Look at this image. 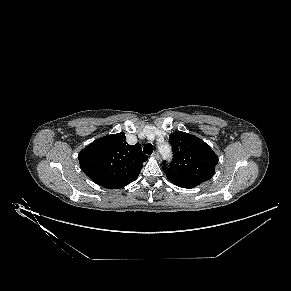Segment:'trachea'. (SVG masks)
Instances as JSON below:
<instances>
[{
	"label": "trachea",
	"instance_id": "trachea-1",
	"mask_svg": "<svg viewBox=\"0 0 291 291\" xmlns=\"http://www.w3.org/2000/svg\"><path fill=\"white\" fill-rule=\"evenodd\" d=\"M143 151H144L145 154H148V155L152 154V152H153V145L152 144H146L144 146V148H143Z\"/></svg>",
	"mask_w": 291,
	"mask_h": 291
}]
</instances>
